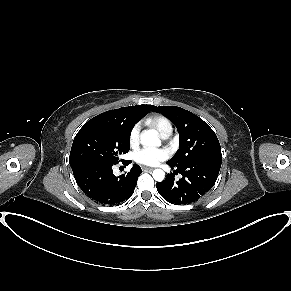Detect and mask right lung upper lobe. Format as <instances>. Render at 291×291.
I'll use <instances>...</instances> for the list:
<instances>
[{
	"instance_id": "right-lung-upper-lobe-1",
	"label": "right lung upper lobe",
	"mask_w": 291,
	"mask_h": 291,
	"mask_svg": "<svg viewBox=\"0 0 291 291\" xmlns=\"http://www.w3.org/2000/svg\"><path fill=\"white\" fill-rule=\"evenodd\" d=\"M153 105H136L130 107H122L115 110H109L96 117L112 118V119H124L133 126L151 110L154 111Z\"/></svg>"
}]
</instances>
